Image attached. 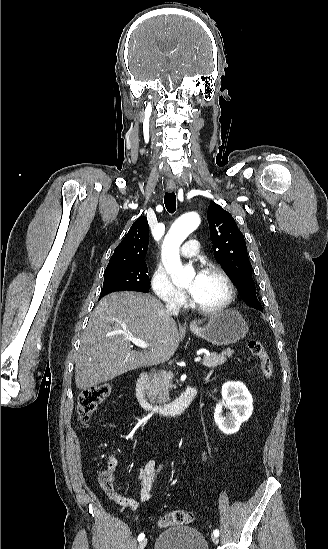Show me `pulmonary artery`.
<instances>
[{
    "instance_id": "1",
    "label": "pulmonary artery",
    "mask_w": 328,
    "mask_h": 549,
    "mask_svg": "<svg viewBox=\"0 0 328 549\" xmlns=\"http://www.w3.org/2000/svg\"><path fill=\"white\" fill-rule=\"evenodd\" d=\"M202 248V245L198 241H187L185 243V246L182 247V250L180 251L182 253V256L185 258L194 257L195 253L200 251Z\"/></svg>"
}]
</instances>
